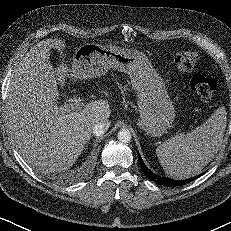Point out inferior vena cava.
<instances>
[{
    "mask_svg": "<svg viewBox=\"0 0 231 231\" xmlns=\"http://www.w3.org/2000/svg\"><path fill=\"white\" fill-rule=\"evenodd\" d=\"M109 127V121L98 122L93 127V134L97 137H100L109 129Z\"/></svg>",
    "mask_w": 231,
    "mask_h": 231,
    "instance_id": "inferior-vena-cava-1",
    "label": "inferior vena cava"
}]
</instances>
